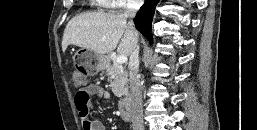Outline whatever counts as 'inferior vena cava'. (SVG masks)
<instances>
[{
    "label": "inferior vena cava",
    "mask_w": 257,
    "mask_h": 130,
    "mask_svg": "<svg viewBox=\"0 0 257 130\" xmlns=\"http://www.w3.org/2000/svg\"><path fill=\"white\" fill-rule=\"evenodd\" d=\"M131 5L123 14L124 18H129L128 28L133 36V50L129 58V82L131 90V113L133 130H144L143 126V110H142V93L139 80V46L138 33L135 29L133 18L135 17L142 0H132Z\"/></svg>",
    "instance_id": "inferior-vena-cava-1"
}]
</instances>
